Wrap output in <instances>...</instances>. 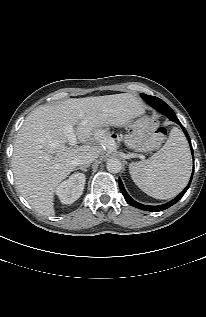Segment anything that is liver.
<instances>
[{"instance_id":"liver-1","label":"liver","mask_w":206,"mask_h":317,"mask_svg":"<svg viewBox=\"0 0 206 317\" xmlns=\"http://www.w3.org/2000/svg\"><path fill=\"white\" fill-rule=\"evenodd\" d=\"M144 113L141 101L129 93L71 98L38 107L26 117L14 143L12 171L18 191L38 213L54 215V192L75 170V159L87 152L99 154L95 141L104 138L97 130L124 127ZM67 125L75 126L83 145L66 146Z\"/></svg>"}]
</instances>
